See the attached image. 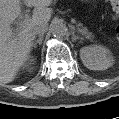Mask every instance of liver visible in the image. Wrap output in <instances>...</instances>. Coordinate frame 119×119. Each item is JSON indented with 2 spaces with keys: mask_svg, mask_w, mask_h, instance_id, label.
I'll return each instance as SVG.
<instances>
[{
  "mask_svg": "<svg viewBox=\"0 0 119 119\" xmlns=\"http://www.w3.org/2000/svg\"><path fill=\"white\" fill-rule=\"evenodd\" d=\"M34 7L31 20L26 22L16 35L10 25L21 13L20 0H0V82L10 83L27 59L35 35L33 28L48 23L53 11L49 7L53 0H24Z\"/></svg>",
  "mask_w": 119,
  "mask_h": 119,
  "instance_id": "6515ba94",
  "label": "liver"
}]
</instances>
